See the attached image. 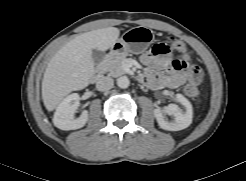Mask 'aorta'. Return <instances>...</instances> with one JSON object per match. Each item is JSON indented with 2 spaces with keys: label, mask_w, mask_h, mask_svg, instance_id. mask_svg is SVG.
Returning <instances> with one entry per match:
<instances>
[{
  "label": "aorta",
  "mask_w": 246,
  "mask_h": 181,
  "mask_svg": "<svg viewBox=\"0 0 246 181\" xmlns=\"http://www.w3.org/2000/svg\"><path fill=\"white\" fill-rule=\"evenodd\" d=\"M117 85L122 89L128 88L130 85V80L127 76H121L117 79Z\"/></svg>",
  "instance_id": "1"
}]
</instances>
